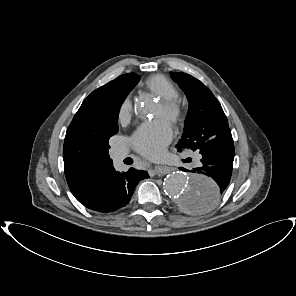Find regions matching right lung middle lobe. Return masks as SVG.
I'll return each mask as SVG.
<instances>
[{
	"instance_id": "obj_1",
	"label": "right lung middle lobe",
	"mask_w": 296,
	"mask_h": 296,
	"mask_svg": "<svg viewBox=\"0 0 296 296\" xmlns=\"http://www.w3.org/2000/svg\"><path fill=\"white\" fill-rule=\"evenodd\" d=\"M139 78L140 77L136 75L116 89L112 95L109 106L101 110L95 117L93 125L97 133L105 141L109 142V138L118 132V113L120 106L130 90L137 84Z\"/></svg>"
}]
</instances>
